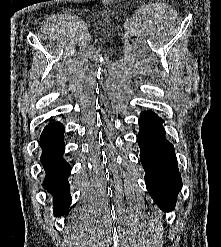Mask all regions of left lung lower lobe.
<instances>
[{
	"label": "left lung lower lobe",
	"mask_w": 221,
	"mask_h": 247,
	"mask_svg": "<svg viewBox=\"0 0 221 247\" xmlns=\"http://www.w3.org/2000/svg\"><path fill=\"white\" fill-rule=\"evenodd\" d=\"M162 123L155 113L143 112L137 141L147 189L156 204L168 212L175 206L182 181L173 145L166 140Z\"/></svg>",
	"instance_id": "obj_1"
}]
</instances>
